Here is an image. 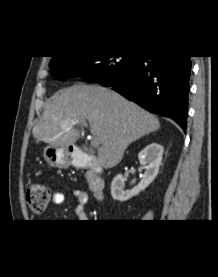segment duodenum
<instances>
[{
    "label": "duodenum",
    "instance_id": "obj_1",
    "mask_svg": "<svg viewBox=\"0 0 218 277\" xmlns=\"http://www.w3.org/2000/svg\"><path fill=\"white\" fill-rule=\"evenodd\" d=\"M69 158L74 167L86 169L90 172L88 187L95 195L101 197L105 191V180L100 175L101 167L98 160L82 150H72Z\"/></svg>",
    "mask_w": 218,
    "mask_h": 277
}]
</instances>
